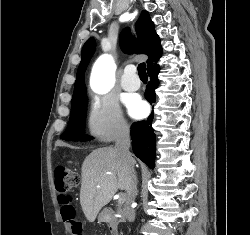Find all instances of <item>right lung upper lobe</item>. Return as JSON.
Returning a JSON list of instances; mask_svg holds the SVG:
<instances>
[{"label":"right lung upper lobe","instance_id":"cb5924a9","mask_svg":"<svg viewBox=\"0 0 250 235\" xmlns=\"http://www.w3.org/2000/svg\"><path fill=\"white\" fill-rule=\"evenodd\" d=\"M138 41L132 39L130 30L124 29L120 34V46L125 53L147 54V64L162 50L160 38L157 35L154 23L151 21L147 11H143L136 22ZM95 51V41L89 38L82 49V60L78 67L77 78L73 98L85 93L84 73L86 67ZM72 98V99H73Z\"/></svg>","mask_w":250,"mask_h":235}]
</instances>
